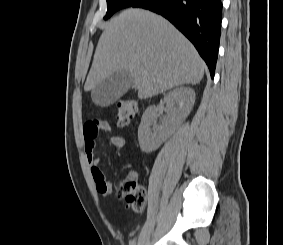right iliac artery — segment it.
<instances>
[{"mask_svg":"<svg viewBox=\"0 0 283 245\" xmlns=\"http://www.w3.org/2000/svg\"><path fill=\"white\" fill-rule=\"evenodd\" d=\"M130 245H135V239L130 242Z\"/></svg>","mask_w":283,"mask_h":245,"instance_id":"82829eb1","label":"right iliac artery"}]
</instances>
